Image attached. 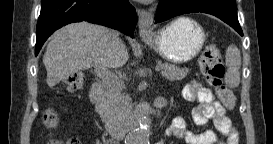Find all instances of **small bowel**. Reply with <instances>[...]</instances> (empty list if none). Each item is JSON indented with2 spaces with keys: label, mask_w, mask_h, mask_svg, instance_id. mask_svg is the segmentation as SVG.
Segmentation results:
<instances>
[{
  "label": "small bowel",
  "mask_w": 273,
  "mask_h": 144,
  "mask_svg": "<svg viewBox=\"0 0 273 144\" xmlns=\"http://www.w3.org/2000/svg\"><path fill=\"white\" fill-rule=\"evenodd\" d=\"M183 97L187 101L198 103L192 112L194 124L202 127L212 122L215 130L209 129L201 133H194L187 129L184 117L178 115L173 118L167 128V135L186 144H217L222 143L223 139H226L229 144L238 143V133L227 117L225 107L215 99L209 88L199 81H193L185 87Z\"/></svg>",
  "instance_id": "c3829d8e"
}]
</instances>
